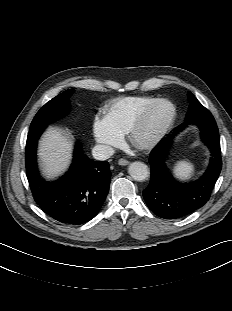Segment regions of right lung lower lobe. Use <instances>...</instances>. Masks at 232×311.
I'll use <instances>...</instances> for the list:
<instances>
[{"label": "right lung lower lobe", "instance_id": "obj_1", "mask_svg": "<svg viewBox=\"0 0 232 311\" xmlns=\"http://www.w3.org/2000/svg\"><path fill=\"white\" fill-rule=\"evenodd\" d=\"M45 128L30 130L26 142V173L34 200L57 221L86 223L98 214L108 194L109 163L90 160L77 144L69 171L56 182H46L36 163L37 141Z\"/></svg>", "mask_w": 232, "mask_h": 311}]
</instances>
